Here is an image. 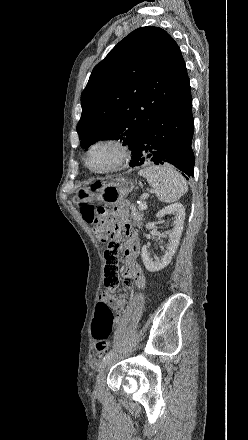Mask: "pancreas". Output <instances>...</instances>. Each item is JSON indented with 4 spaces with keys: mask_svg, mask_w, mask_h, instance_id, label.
I'll return each mask as SVG.
<instances>
[{
    "mask_svg": "<svg viewBox=\"0 0 248 440\" xmlns=\"http://www.w3.org/2000/svg\"><path fill=\"white\" fill-rule=\"evenodd\" d=\"M146 206L143 208V209H141L140 208V205L138 206V210L135 208V207H132V214H131V217H132V223H133V225H135V226H137V227H140L141 226V224H142V220H143V214H142V212L144 211V210H146Z\"/></svg>",
    "mask_w": 248,
    "mask_h": 440,
    "instance_id": "1",
    "label": "pancreas"
}]
</instances>
